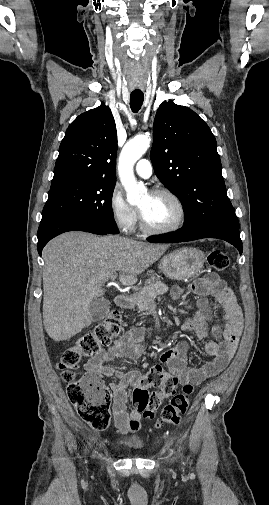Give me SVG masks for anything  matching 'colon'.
<instances>
[{"label": "colon", "mask_w": 269, "mask_h": 505, "mask_svg": "<svg viewBox=\"0 0 269 505\" xmlns=\"http://www.w3.org/2000/svg\"><path fill=\"white\" fill-rule=\"evenodd\" d=\"M208 263L215 271H223L229 266V257L224 251L214 249L208 254ZM121 333L120 312L112 310L104 321L66 348L57 364L62 379L67 383L68 398L78 415L99 431L105 430L110 423L109 394L100 376L85 374L78 378L77 370L82 360L95 357ZM177 383V379L162 368H151L133 390L132 402L135 409L143 413L145 418H152L161 399L171 397L161 412L157 426L178 424L189 407L194 387L185 384L182 392L176 393ZM150 388L158 389V393H150Z\"/></svg>", "instance_id": "colon-1"}]
</instances>
